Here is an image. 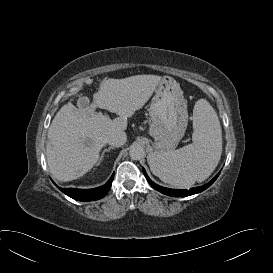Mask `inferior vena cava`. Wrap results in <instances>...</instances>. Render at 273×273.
<instances>
[{
	"label": "inferior vena cava",
	"mask_w": 273,
	"mask_h": 273,
	"mask_svg": "<svg viewBox=\"0 0 273 273\" xmlns=\"http://www.w3.org/2000/svg\"><path fill=\"white\" fill-rule=\"evenodd\" d=\"M126 140V133L122 130H115L111 132L107 137V143L114 147H120L124 145Z\"/></svg>",
	"instance_id": "obj_1"
}]
</instances>
